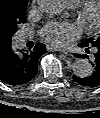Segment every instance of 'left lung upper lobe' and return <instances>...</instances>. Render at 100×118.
<instances>
[{"label":"left lung upper lobe","mask_w":100,"mask_h":118,"mask_svg":"<svg viewBox=\"0 0 100 118\" xmlns=\"http://www.w3.org/2000/svg\"><path fill=\"white\" fill-rule=\"evenodd\" d=\"M82 43L89 44V45L98 44V43H100V34H99V36H97V37H91V38L83 41Z\"/></svg>","instance_id":"5c2ea615"}]
</instances>
